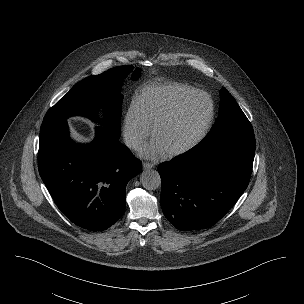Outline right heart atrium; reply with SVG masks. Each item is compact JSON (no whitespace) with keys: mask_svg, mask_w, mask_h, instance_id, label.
Returning a JSON list of instances; mask_svg holds the SVG:
<instances>
[{"mask_svg":"<svg viewBox=\"0 0 304 304\" xmlns=\"http://www.w3.org/2000/svg\"><path fill=\"white\" fill-rule=\"evenodd\" d=\"M151 126L145 119L137 101H132L123 119V136L130 149L139 148L150 135Z\"/></svg>","mask_w":304,"mask_h":304,"instance_id":"obj_1","label":"right heart atrium"}]
</instances>
